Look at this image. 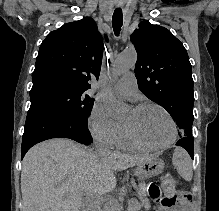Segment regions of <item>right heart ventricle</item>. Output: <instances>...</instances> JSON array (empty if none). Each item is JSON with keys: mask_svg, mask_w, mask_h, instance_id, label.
<instances>
[{"mask_svg": "<svg viewBox=\"0 0 219 211\" xmlns=\"http://www.w3.org/2000/svg\"><path fill=\"white\" fill-rule=\"evenodd\" d=\"M117 146L123 149H128V150H140L141 147L137 146L134 144L127 136L124 127L122 126L118 140H117Z\"/></svg>", "mask_w": 219, "mask_h": 211, "instance_id": "e07e8e85", "label": "right heart ventricle"}]
</instances>
